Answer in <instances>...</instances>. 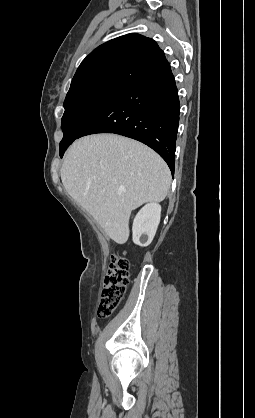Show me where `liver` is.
<instances>
[{
    "label": "liver",
    "instance_id": "1",
    "mask_svg": "<svg viewBox=\"0 0 255 418\" xmlns=\"http://www.w3.org/2000/svg\"><path fill=\"white\" fill-rule=\"evenodd\" d=\"M67 193L116 243L130 234L132 210L165 199L171 173L165 161L146 145L115 134L76 140L61 168Z\"/></svg>",
    "mask_w": 255,
    "mask_h": 418
}]
</instances>
